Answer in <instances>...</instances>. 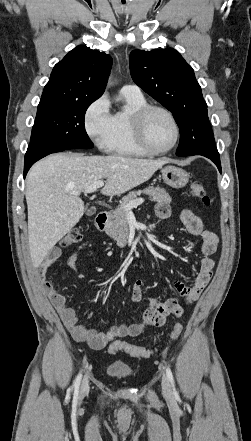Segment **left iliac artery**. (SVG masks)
<instances>
[{
	"label": "left iliac artery",
	"instance_id": "1",
	"mask_svg": "<svg viewBox=\"0 0 251 441\" xmlns=\"http://www.w3.org/2000/svg\"><path fill=\"white\" fill-rule=\"evenodd\" d=\"M166 375H167V378L169 379V381L171 383V386L173 388V393L176 394L177 391L175 389V383H174L173 374H172V371H171V369L169 367L166 368Z\"/></svg>",
	"mask_w": 251,
	"mask_h": 441
}]
</instances>
